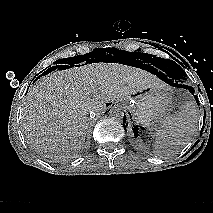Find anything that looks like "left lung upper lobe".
<instances>
[{"mask_svg":"<svg viewBox=\"0 0 213 213\" xmlns=\"http://www.w3.org/2000/svg\"><path fill=\"white\" fill-rule=\"evenodd\" d=\"M154 59L157 61L155 65L167 73L174 81L183 83L186 80L187 75L185 71L176 62L159 57Z\"/></svg>","mask_w":213,"mask_h":213,"instance_id":"obj_1","label":"left lung upper lobe"}]
</instances>
